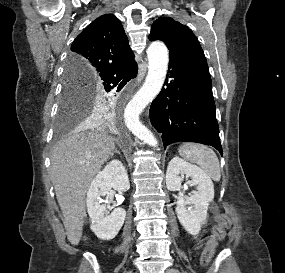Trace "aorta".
Returning a JSON list of instances; mask_svg holds the SVG:
<instances>
[{"label":"aorta","instance_id":"762f6f07","mask_svg":"<svg viewBox=\"0 0 285 273\" xmlns=\"http://www.w3.org/2000/svg\"><path fill=\"white\" fill-rule=\"evenodd\" d=\"M148 74L143 86L128 103L125 110V122L130 131L146 144L156 147L154 135L139 121V114L158 95L165 80L169 55L166 45L154 41L147 50Z\"/></svg>","mask_w":285,"mask_h":273}]
</instances>
